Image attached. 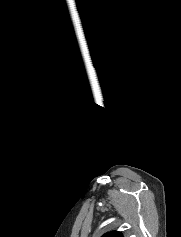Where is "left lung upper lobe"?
Wrapping results in <instances>:
<instances>
[{"label": "left lung upper lobe", "mask_w": 181, "mask_h": 237, "mask_svg": "<svg viewBox=\"0 0 181 237\" xmlns=\"http://www.w3.org/2000/svg\"><path fill=\"white\" fill-rule=\"evenodd\" d=\"M102 237H123L121 232L118 231H112L104 234Z\"/></svg>", "instance_id": "left-lung-upper-lobe-1"}]
</instances>
